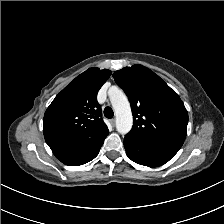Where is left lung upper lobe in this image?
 I'll list each match as a JSON object with an SVG mask.
<instances>
[{
    "instance_id": "left-lung-upper-lobe-1",
    "label": "left lung upper lobe",
    "mask_w": 224,
    "mask_h": 224,
    "mask_svg": "<svg viewBox=\"0 0 224 224\" xmlns=\"http://www.w3.org/2000/svg\"><path fill=\"white\" fill-rule=\"evenodd\" d=\"M127 94L134 119L129 135L180 149L186 137L187 110L178 94L142 65L113 74Z\"/></svg>"
}]
</instances>
